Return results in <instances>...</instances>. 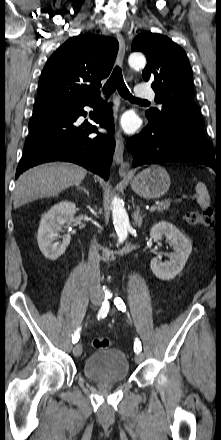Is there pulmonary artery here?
I'll use <instances>...</instances> for the list:
<instances>
[{"label": "pulmonary artery", "instance_id": "e3ab8cb5", "mask_svg": "<svg viewBox=\"0 0 221 440\" xmlns=\"http://www.w3.org/2000/svg\"><path fill=\"white\" fill-rule=\"evenodd\" d=\"M135 94L140 99H154L155 97V93L151 88L145 87L141 84L136 86Z\"/></svg>", "mask_w": 221, "mask_h": 440}]
</instances>
